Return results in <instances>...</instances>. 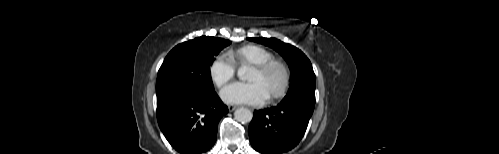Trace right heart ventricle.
Here are the masks:
<instances>
[{
  "label": "right heart ventricle",
  "instance_id": "e07e8e85",
  "mask_svg": "<svg viewBox=\"0 0 499 154\" xmlns=\"http://www.w3.org/2000/svg\"><path fill=\"white\" fill-rule=\"evenodd\" d=\"M226 56L236 65L248 64L253 66L274 58L272 51L257 44H248L230 50Z\"/></svg>",
  "mask_w": 499,
  "mask_h": 154
}]
</instances>
